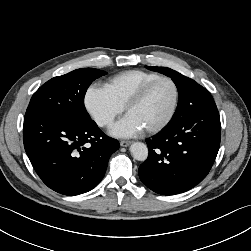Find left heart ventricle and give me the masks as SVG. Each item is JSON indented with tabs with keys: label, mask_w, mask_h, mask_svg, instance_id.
<instances>
[{
	"label": "left heart ventricle",
	"mask_w": 251,
	"mask_h": 251,
	"mask_svg": "<svg viewBox=\"0 0 251 251\" xmlns=\"http://www.w3.org/2000/svg\"><path fill=\"white\" fill-rule=\"evenodd\" d=\"M173 97L172 85L168 81H160L152 86L144 99L127 114L137 121L143 130L152 128L166 118L172 107Z\"/></svg>",
	"instance_id": "b2bd125f"
}]
</instances>
